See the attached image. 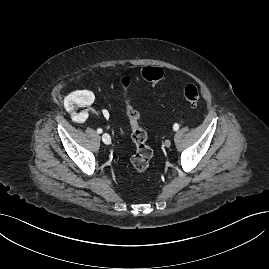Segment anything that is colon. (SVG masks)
<instances>
[{
  "instance_id": "5ec220e1",
  "label": "colon",
  "mask_w": 269,
  "mask_h": 269,
  "mask_svg": "<svg viewBox=\"0 0 269 269\" xmlns=\"http://www.w3.org/2000/svg\"><path fill=\"white\" fill-rule=\"evenodd\" d=\"M141 74L145 80L153 83H159L163 78V71L158 67H145ZM120 84L125 94L126 114L132 130V140L136 147L131 163L137 172L142 173L149 167L152 149L147 144L146 131L140 125V115L127 96L131 81L129 78L124 77L121 79ZM184 97L189 105L195 106L200 98L198 88L193 84L187 85L184 89Z\"/></svg>"
}]
</instances>
